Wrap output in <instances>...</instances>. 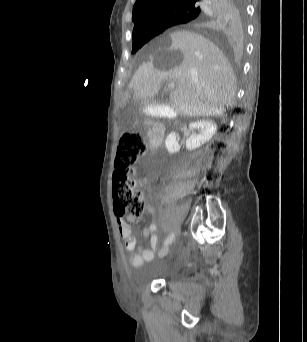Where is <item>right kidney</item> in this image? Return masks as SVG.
Listing matches in <instances>:
<instances>
[{"mask_svg": "<svg viewBox=\"0 0 307 342\" xmlns=\"http://www.w3.org/2000/svg\"><path fill=\"white\" fill-rule=\"evenodd\" d=\"M189 128L190 130L198 128L199 134H191L190 138H187V150H196V148H200V146L209 142L212 136L217 132V126L213 120H198V122H191ZM177 138L178 134H176V132L168 134L165 140V148L168 150L169 154H176V152H179L180 146Z\"/></svg>", "mask_w": 307, "mask_h": 342, "instance_id": "1", "label": "right kidney"}]
</instances>
